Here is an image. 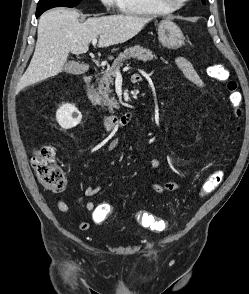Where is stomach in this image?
<instances>
[{"label":"stomach","mask_w":249,"mask_h":294,"mask_svg":"<svg viewBox=\"0 0 249 294\" xmlns=\"http://www.w3.org/2000/svg\"><path fill=\"white\" fill-rule=\"evenodd\" d=\"M158 39L162 46L168 49L180 48L185 40L181 29L170 20H162L159 23Z\"/></svg>","instance_id":"obj_1"}]
</instances>
